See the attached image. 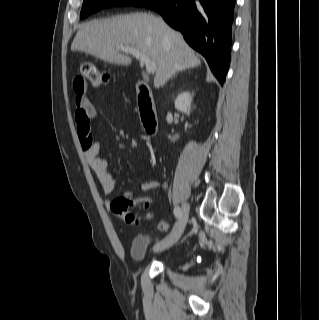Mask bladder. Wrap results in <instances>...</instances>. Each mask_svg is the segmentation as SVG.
Listing matches in <instances>:
<instances>
[{"mask_svg": "<svg viewBox=\"0 0 319 320\" xmlns=\"http://www.w3.org/2000/svg\"><path fill=\"white\" fill-rule=\"evenodd\" d=\"M149 248V237L146 235H136L131 243L130 254L137 262H143L147 258Z\"/></svg>", "mask_w": 319, "mask_h": 320, "instance_id": "bladder-1", "label": "bladder"}]
</instances>
